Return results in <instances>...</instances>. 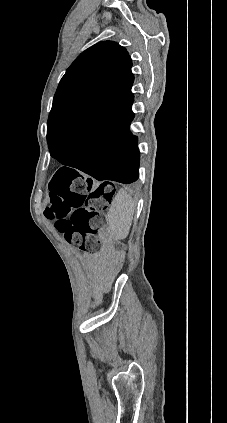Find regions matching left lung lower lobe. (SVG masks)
Listing matches in <instances>:
<instances>
[{
  "instance_id": "left-lung-lower-lobe-1",
  "label": "left lung lower lobe",
  "mask_w": 227,
  "mask_h": 423,
  "mask_svg": "<svg viewBox=\"0 0 227 423\" xmlns=\"http://www.w3.org/2000/svg\"><path fill=\"white\" fill-rule=\"evenodd\" d=\"M133 118L132 111L110 113L49 144L51 156L97 180L132 183L138 179L140 159L137 137L129 130ZM62 169L73 178L80 176L74 169Z\"/></svg>"
}]
</instances>
